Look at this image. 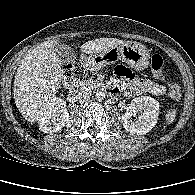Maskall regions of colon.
<instances>
[{"label":"colon","mask_w":195,"mask_h":195,"mask_svg":"<svg viewBox=\"0 0 195 195\" xmlns=\"http://www.w3.org/2000/svg\"><path fill=\"white\" fill-rule=\"evenodd\" d=\"M164 60L161 55L154 54L151 57V70L158 79H163ZM85 65L83 61L77 60L66 68L65 81L73 84L85 76ZM169 96L174 101H179L182 97V91L179 85L172 84L169 88Z\"/></svg>","instance_id":"obj_1"}]
</instances>
